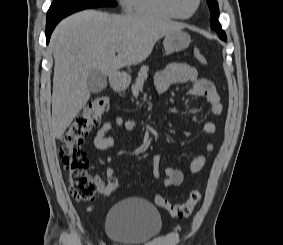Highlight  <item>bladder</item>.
Segmentation results:
<instances>
[{
    "instance_id": "1",
    "label": "bladder",
    "mask_w": 283,
    "mask_h": 245,
    "mask_svg": "<svg viewBox=\"0 0 283 245\" xmlns=\"http://www.w3.org/2000/svg\"><path fill=\"white\" fill-rule=\"evenodd\" d=\"M162 231L160 212L150 202L127 198L111 207L106 218L109 239L118 245H140Z\"/></svg>"
}]
</instances>
